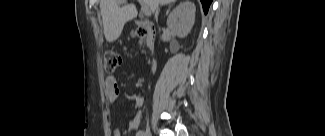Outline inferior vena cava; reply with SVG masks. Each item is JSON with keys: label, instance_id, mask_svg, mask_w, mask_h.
<instances>
[{"label": "inferior vena cava", "instance_id": "obj_1", "mask_svg": "<svg viewBox=\"0 0 325 136\" xmlns=\"http://www.w3.org/2000/svg\"><path fill=\"white\" fill-rule=\"evenodd\" d=\"M158 13H159V7L156 8V13H155L156 19L158 17Z\"/></svg>", "mask_w": 325, "mask_h": 136}]
</instances>
